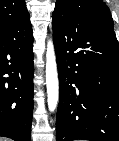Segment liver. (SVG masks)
Returning a JSON list of instances; mask_svg holds the SVG:
<instances>
[{
  "label": "liver",
  "instance_id": "liver-1",
  "mask_svg": "<svg viewBox=\"0 0 119 141\" xmlns=\"http://www.w3.org/2000/svg\"><path fill=\"white\" fill-rule=\"evenodd\" d=\"M0 141H7V140H5V139H3V138H0Z\"/></svg>",
  "mask_w": 119,
  "mask_h": 141
}]
</instances>
